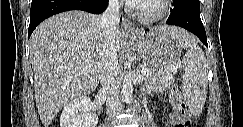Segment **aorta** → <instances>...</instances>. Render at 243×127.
<instances>
[{
    "mask_svg": "<svg viewBox=\"0 0 243 127\" xmlns=\"http://www.w3.org/2000/svg\"><path fill=\"white\" fill-rule=\"evenodd\" d=\"M122 93L126 103H131L133 94V80L130 74L124 76Z\"/></svg>",
    "mask_w": 243,
    "mask_h": 127,
    "instance_id": "obj_1",
    "label": "aorta"
}]
</instances>
